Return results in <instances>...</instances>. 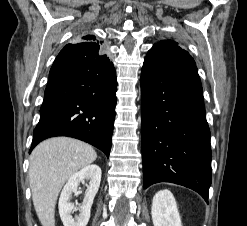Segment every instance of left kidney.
Here are the masks:
<instances>
[{"instance_id": "5707ae66", "label": "left kidney", "mask_w": 247, "mask_h": 226, "mask_svg": "<svg viewBox=\"0 0 247 226\" xmlns=\"http://www.w3.org/2000/svg\"><path fill=\"white\" fill-rule=\"evenodd\" d=\"M151 215L154 226H182L175 198L169 190L154 195Z\"/></svg>"}]
</instances>
